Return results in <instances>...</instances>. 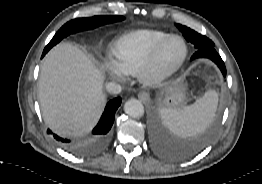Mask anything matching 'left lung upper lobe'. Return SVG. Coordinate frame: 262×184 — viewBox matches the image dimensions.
<instances>
[{
	"label": "left lung upper lobe",
	"instance_id": "obj_1",
	"mask_svg": "<svg viewBox=\"0 0 262 184\" xmlns=\"http://www.w3.org/2000/svg\"><path fill=\"white\" fill-rule=\"evenodd\" d=\"M177 27L182 32L185 39L188 42H191L197 50L204 47L214 46V43L204 35H201L194 30L180 24H177Z\"/></svg>",
	"mask_w": 262,
	"mask_h": 184
}]
</instances>
